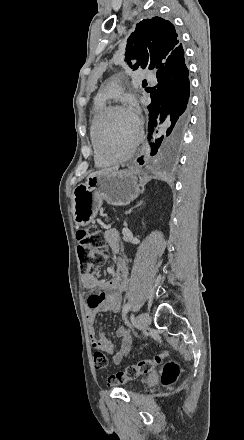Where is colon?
<instances>
[{
  "instance_id": "obj_1",
  "label": "colon",
  "mask_w": 244,
  "mask_h": 440,
  "mask_svg": "<svg viewBox=\"0 0 244 440\" xmlns=\"http://www.w3.org/2000/svg\"><path fill=\"white\" fill-rule=\"evenodd\" d=\"M77 253L86 273L92 272L102 261L101 252L105 246V238L101 231L79 229L76 233ZM166 353H158L152 357L141 359L133 364L127 365L117 373H110L109 380L112 385L134 381L137 378L151 373L155 365L163 363ZM92 363L95 369H106L108 358L102 351H94ZM181 373L180 368L174 361L166 363L161 372V381L164 385L176 381V374Z\"/></svg>"
}]
</instances>
